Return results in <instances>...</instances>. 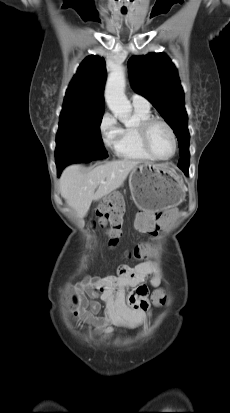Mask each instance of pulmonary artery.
Masks as SVG:
<instances>
[{
    "label": "pulmonary artery",
    "mask_w": 230,
    "mask_h": 413,
    "mask_svg": "<svg viewBox=\"0 0 230 413\" xmlns=\"http://www.w3.org/2000/svg\"><path fill=\"white\" fill-rule=\"evenodd\" d=\"M131 102L134 108L143 109V110H149L150 108V103L148 102V100L138 94H133L131 96Z\"/></svg>",
    "instance_id": "obj_1"
}]
</instances>
